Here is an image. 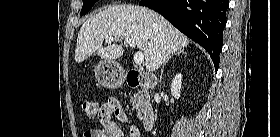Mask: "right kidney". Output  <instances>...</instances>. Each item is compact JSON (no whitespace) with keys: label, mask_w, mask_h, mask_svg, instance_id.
I'll use <instances>...</instances> for the list:
<instances>
[{"label":"right kidney","mask_w":280,"mask_h":137,"mask_svg":"<svg viewBox=\"0 0 280 137\" xmlns=\"http://www.w3.org/2000/svg\"><path fill=\"white\" fill-rule=\"evenodd\" d=\"M181 85H182V75L177 74L171 84V94L174 98L179 99L181 93Z\"/></svg>","instance_id":"ca27d5eb"}]
</instances>
